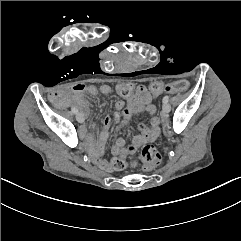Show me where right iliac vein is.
Here are the masks:
<instances>
[{"label":"right iliac vein","mask_w":241,"mask_h":241,"mask_svg":"<svg viewBox=\"0 0 241 241\" xmlns=\"http://www.w3.org/2000/svg\"><path fill=\"white\" fill-rule=\"evenodd\" d=\"M76 119L79 123H83L84 122V116L83 114L80 112V113H77L76 114Z\"/></svg>","instance_id":"obj_1"}]
</instances>
